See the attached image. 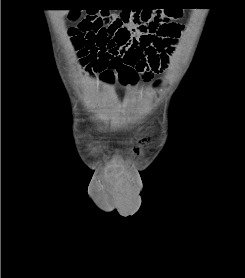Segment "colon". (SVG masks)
<instances>
[{"label":"colon","instance_id":"obj_1","mask_svg":"<svg viewBox=\"0 0 245 278\" xmlns=\"http://www.w3.org/2000/svg\"><path fill=\"white\" fill-rule=\"evenodd\" d=\"M70 21L75 24L68 31L74 49L80 55L88 54L93 59L105 55L103 49H96L95 43L104 45L110 38L120 47H149L148 53L153 55L171 51L180 37L177 24L150 8L122 10L114 18H98L93 21L78 20V15L74 14ZM83 32L87 33V43L81 49L79 34ZM139 144L138 149L144 141Z\"/></svg>","mask_w":245,"mask_h":278}]
</instances>
